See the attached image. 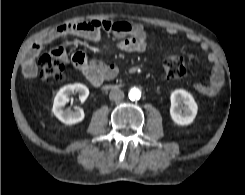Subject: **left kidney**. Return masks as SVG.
Listing matches in <instances>:
<instances>
[{"instance_id":"5707ae66","label":"left kidney","mask_w":245,"mask_h":195,"mask_svg":"<svg viewBox=\"0 0 245 195\" xmlns=\"http://www.w3.org/2000/svg\"><path fill=\"white\" fill-rule=\"evenodd\" d=\"M170 101V116L175 124L184 126L194 121L198 105L189 92L183 89L174 90L171 93Z\"/></svg>"}]
</instances>
